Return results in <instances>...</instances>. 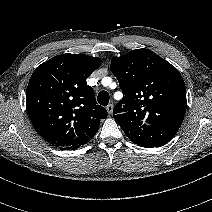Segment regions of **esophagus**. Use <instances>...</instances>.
Returning <instances> with one entry per match:
<instances>
[{
    "label": "esophagus",
    "instance_id": "esophagus-1",
    "mask_svg": "<svg viewBox=\"0 0 212 212\" xmlns=\"http://www.w3.org/2000/svg\"><path fill=\"white\" fill-rule=\"evenodd\" d=\"M106 110L109 114H112L113 112V104H108L106 107Z\"/></svg>",
    "mask_w": 212,
    "mask_h": 212
}]
</instances>
